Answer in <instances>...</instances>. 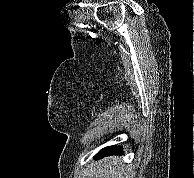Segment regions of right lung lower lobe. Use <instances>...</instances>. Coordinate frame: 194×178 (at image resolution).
<instances>
[{
	"label": "right lung lower lobe",
	"mask_w": 194,
	"mask_h": 178,
	"mask_svg": "<svg viewBox=\"0 0 194 178\" xmlns=\"http://www.w3.org/2000/svg\"><path fill=\"white\" fill-rule=\"evenodd\" d=\"M123 148L120 146H110V147H106L104 149H102L101 151H99L97 153V155L95 156V158H101L107 155H112V154H118V153H122Z\"/></svg>",
	"instance_id": "right-lung-lower-lobe-1"
}]
</instances>
